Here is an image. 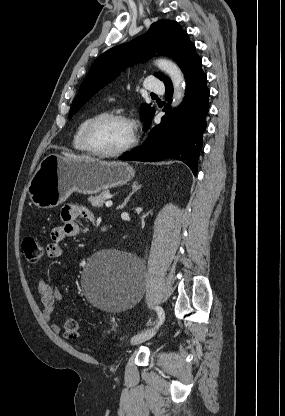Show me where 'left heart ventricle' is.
Segmentation results:
<instances>
[{
    "mask_svg": "<svg viewBox=\"0 0 285 416\" xmlns=\"http://www.w3.org/2000/svg\"><path fill=\"white\" fill-rule=\"evenodd\" d=\"M128 138V127L117 120H104L91 130V141L101 150H117L125 145Z\"/></svg>",
    "mask_w": 285,
    "mask_h": 416,
    "instance_id": "left-heart-ventricle-1",
    "label": "left heart ventricle"
}]
</instances>
